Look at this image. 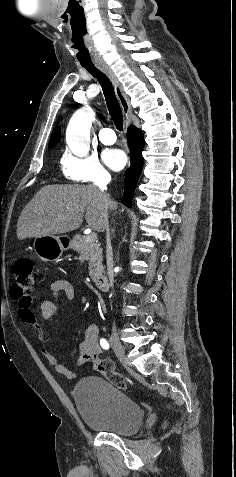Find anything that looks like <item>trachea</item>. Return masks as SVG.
I'll use <instances>...</instances> for the list:
<instances>
[{
	"instance_id": "1",
	"label": "trachea",
	"mask_w": 236,
	"mask_h": 477,
	"mask_svg": "<svg viewBox=\"0 0 236 477\" xmlns=\"http://www.w3.org/2000/svg\"><path fill=\"white\" fill-rule=\"evenodd\" d=\"M81 66L84 67L92 76L97 78L100 82L107 103V107L111 118L115 124V127L117 128V130L122 131V110L116 98L115 91L110 79L100 70H98L92 63H81Z\"/></svg>"
}]
</instances>
